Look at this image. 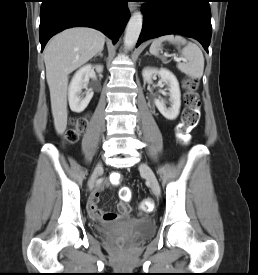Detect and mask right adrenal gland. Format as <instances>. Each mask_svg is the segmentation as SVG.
I'll use <instances>...</instances> for the list:
<instances>
[{"label":"right adrenal gland","instance_id":"2a0ac1e0","mask_svg":"<svg viewBox=\"0 0 258 275\" xmlns=\"http://www.w3.org/2000/svg\"><path fill=\"white\" fill-rule=\"evenodd\" d=\"M97 56L102 57V56H103L102 51H100L97 55H95V58H96Z\"/></svg>","mask_w":258,"mask_h":275}]
</instances>
